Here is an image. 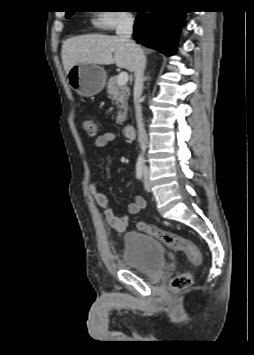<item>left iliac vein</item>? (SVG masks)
<instances>
[{"mask_svg":"<svg viewBox=\"0 0 254 355\" xmlns=\"http://www.w3.org/2000/svg\"><path fill=\"white\" fill-rule=\"evenodd\" d=\"M144 188L146 191L151 190V182L149 179V168L147 166L144 167V178H143Z\"/></svg>","mask_w":254,"mask_h":355,"instance_id":"left-iliac-vein-1","label":"left iliac vein"}]
</instances>
